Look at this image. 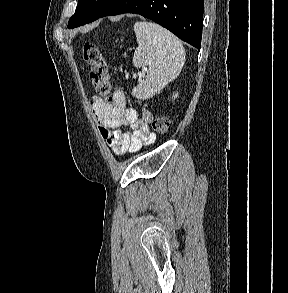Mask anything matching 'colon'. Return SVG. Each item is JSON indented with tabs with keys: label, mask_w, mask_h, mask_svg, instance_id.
<instances>
[{
	"label": "colon",
	"mask_w": 288,
	"mask_h": 293,
	"mask_svg": "<svg viewBox=\"0 0 288 293\" xmlns=\"http://www.w3.org/2000/svg\"><path fill=\"white\" fill-rule=\"evenodd\" d=\"M83 58L84 61L91 66L90 78L95 91L104 98V100L109 101L111 98L109 70L98 46L86 42L83 46ZM168 128L169 120L165 117H157L153 121V129L160 135H165L168 132Z\"/></svg>",
	"instance_id": "5ec220e1"
}]
</instances>
